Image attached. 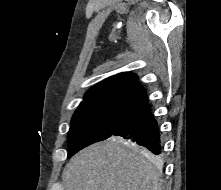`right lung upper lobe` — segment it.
Listing matches in <instances>:
<instances>
[{"label": "right lung upper lobe", "instance_id": "cb5924a9", "mask_svg": "<svg viewBox=\"0 0 221 190\" xmlns=\"http://www.w3.org/2000/svg\"><path fill=\"white\" fill-rule=\"evenodd\" d=\"M147 103L146 90L138 82L137 75L125 72L91 87L79 106L113 104L138 110Z\"/></svg>", "mask_w": 221, "mask_h": 190}]
</instances>
